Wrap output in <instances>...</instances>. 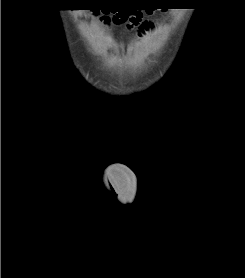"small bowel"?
Masks as SVG:
<instances>
[{"label":"small bowel","instance_id":"obj_1","mask_svg":"<svg viewBox=\"0 0 245 278\" xmlns=\"http://www.w3.org/2000/svg\"><path fill=\"white\" fill-rule=\"evenodd\" d=\"M119 1H128V0H119Z\"/></svg>","mask_w":245,"mask_h":278}]
</instances>
